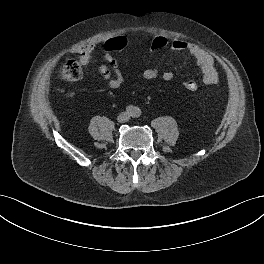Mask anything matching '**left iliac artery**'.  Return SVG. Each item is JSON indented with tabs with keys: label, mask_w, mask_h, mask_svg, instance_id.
<instances>
[{
	"label": "left iliac artery",
	"mask_w": 264,
	"mask_h": 264,
	"mask_svg": "<svg viewBox=\"0 0 264 264\" xmlns=\"http://www.w3.org/2000/svg\"><path fill=\"white\" fill-rule=\"evenodd\" d=\"M134 116L135 117H139L140 116V110L139 109H136L135 112H134Z\"/></svg>",
	"instance_id": "obj_1"
}]
</instances>
